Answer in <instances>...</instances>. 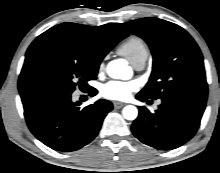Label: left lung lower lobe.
Returning <instances> with one entry per match:
<instances>
[{
    "label": "left lung lower lobe",
    "mask_w": 220,
    "mask_h": 173,
    "mask_svg": "<svg viewBox=\"0 0 220 173\" xmlns=\"http://www.w3.org/2000/svg\"><path fill=\"white\" fill-rule=\"evenodd\" d=\"M136 98H147L137 94ZM206 102L183 97L163 99L155 113L139 107V116L132 124L133 134L144 144L170 150L190 140L196 133Z\"/></svg>",
    "instance_id": "obj_1"
}]
</instances>
